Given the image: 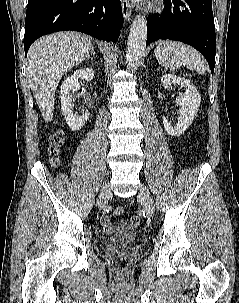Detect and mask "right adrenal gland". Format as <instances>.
<instances>
[{"instance_id": "2a0ac1e0", "label": "right adrenal gland", "mask_w": 239, "mask_h": 303, "mask_svg": "<svg viewBox=\"0 0 239 303\" xmlns=\"http://www.w3.org/2000/svg\"><path fill=\"white\" fill-rule=\"evenodd\" d=\"M91 55H96V52L94 51V47H91V51H90ZM87 59H89V56L87 57Z\"/></svg>"}]
</instances>
